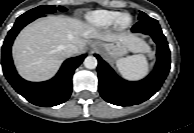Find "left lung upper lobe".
Listing matches in <instances>:
<instances>
[{"mask_svg": "<svg viewBox=\"0 0 194 133\" xmlns=\"http://www.w3.org/2000/svg\"><path fill=\"white\" fill-rule=\"evenodd\" d=\"M147 17H148V15H146L144 12H141V13L139 14L138 19H139V20H143V19H145V18H147Z\"/></svg>", "mask_w": 194, "mask_h": 133, "instance_id": "5c2ea615", "label": "left lung upper lobe"}]
</instances>
